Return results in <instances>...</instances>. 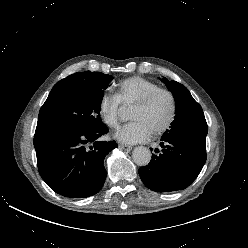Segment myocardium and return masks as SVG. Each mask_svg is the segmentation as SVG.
<instances>
[{
	"mask_svg": "<svg viewBox=\"0 0 248 248\" xmlns=\"http://www.w3.org/2000/svg\"><path fill=\"white\" fill-rule=\"evenodd\" d=\"M160 94H165L169 98L170 112L166 121L160 127L153 131L154 134H161L167 131L172 126L175 120L177 104L173 92L165 88H157L149 92L147 95H145L142 99L134 104V107L145 108L149 106L151 102Z\"/></svg>",
	"mask_w": 248,
	"mask_h": 248,
	"instance_id": "obj_1",
	"label": "myocardium"
}]
</instances>
